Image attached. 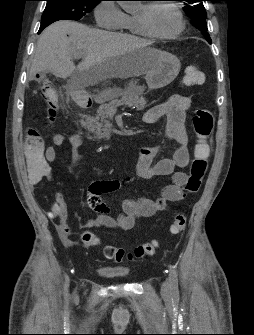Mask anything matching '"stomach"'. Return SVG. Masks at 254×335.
Masks as SVG:
<instances>
[{
  "label": "stomach",
  "mask_w": 254,
  "mask_h": 335,
  "mask_svg": "<svg viewBox=\"0 0 254 335\" xmlns=\"http://www.w3.org/2000/svg\"><path fill=\"white\" fill-rule=\"evenodd\" d=\"M147 51L154 58V64L145 76L148 89H160L169 85L179 74L180 60L175 55L159 49L147 47Z\"/></svg>",
  "instance_id": "1"
}]
</instances>
